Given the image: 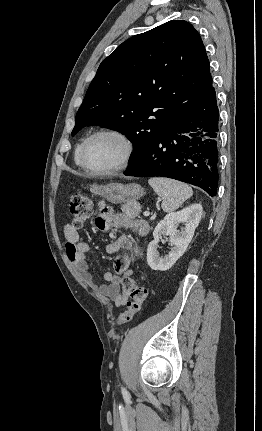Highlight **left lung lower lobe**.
<instances>
[{
  "label": "left lung lower lobe",
  "mask_w": 262,
  "mask_h": 431,
  "mask_svg": "<svg viewBox=\"0 0 262 431\" xmlns=\"http://www.w3.org/2000/svg\"><path fill=\"white\" fill-rule=\"evenodd\" d=\"M218 123L216 92L211 87L124 174L172 178L198 186L210 196L216 195Z\"/></svg>",
  "instance_id": "left-lung-lower-lobe-1"
}]
</instances>
